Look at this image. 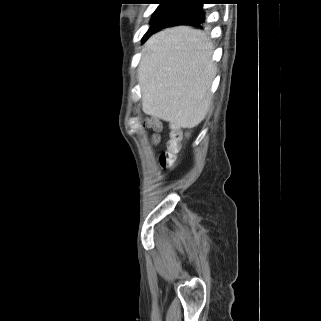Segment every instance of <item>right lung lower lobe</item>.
Here are the masks:
<instances>
[{
	"mask_svg": "<svg viewBox=\"0 0 321 321\" xmlns=\"http://www.w3.org/2000/svg\"><path fill=\"white\" fill-rule=\"evenodd\" d=\"M202 5L203 3L201 2H192L174 7L162 17L151 34L160 29L177 25H190L199 27L205 22V12L202 8Z\"/></svg>",
	"mask_w": 321,
	"mask_h": 321,
	"instance_id": "98d812e1",
	"label": "right lung lower lobe"
}]
</instances>
